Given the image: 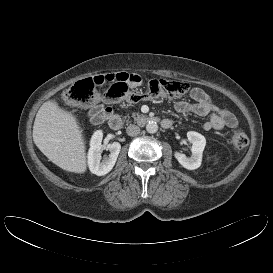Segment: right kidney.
I'll list each match as a JSON object with an SVG mask.
<instances>
[{
  "label": "right kidney",
  "instance_id": "right-kidney-1",
  "mask_svg": "<svg viewBox=\"0 0 273 273\" xmlns=\"http://www.w3.org/2000/svg\"><path fill=\"white\" fill-rule=\"evenodd\" d=\"M103 133L101 130L94 132L90 141L88 151V166L93 174L103 176L109 173L114 167L117 157L120 153L121 145L113 142L108 145H102ZM102 150H109V156L101 157Z\"/></svg>",
  "mask_w": 273,
  "mask_h": 273
}]
</instances>
